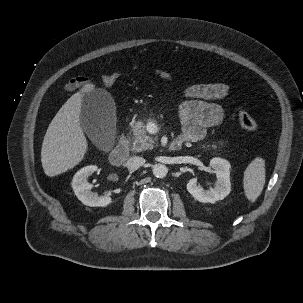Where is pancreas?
Returning <instances> with one entry per match:
<instances>
[{
  "label": "pancreas",
  "instance_id": "pancreas-1",
  "mask_svg": "<svg viewBox=\"0 0 303 303\" xmlns=\"http://www.w3.org/2000/svg\"><path fill=\"white\" fill-rule=\"evenodd\" d=\"M131 150L134 152H140L146 149H152L154 147L155 138L147 135L146 126L142 120H138L132 126ZM209 147V146H208ZM213 149H217L216 145H212Z\"/></svg>",
  "mask_w": 303,
  "mask_h": 303
}]
</instances>
